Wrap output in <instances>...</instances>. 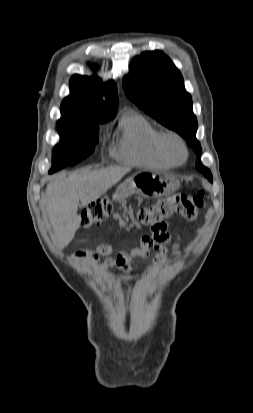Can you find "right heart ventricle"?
<instances>
[{
  "instance_id": "obj_1",
  "label": "right heart ventricle",
  "mask_w": 253,
  "mask_h": 413,
  "mask_svg": "<svg viewBox=\"0 0 253 413\" xmlns=\"http://www.w3.org/2000/svg\"><path fill=\"white\" fill-rule=\"evenodd\" d=\"M122 135L114 156L136 166L171 168L174 164L167 159L161 149V131L147 118L131 113L121 121Z\"/></svg>"
}]
</instances>
